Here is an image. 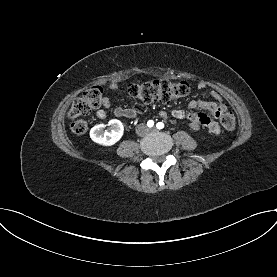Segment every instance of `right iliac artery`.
I'll return each mask as SVG.
<instances>
[{
    "label": "right iliac artery",
    "instance_id": "82829eb1",
    "mask_svg": "<svg viewBox=\"0 0 277 277\" xmlns=\"http://www.w3.org/2000/svg\"><path fill=\"white\" fill-rule=\"evenodd\" d=\"M148 127H152L154 125V122L152 120H149L147 122Z\"/></svg>",
    "mask_w": 277,
    "mask_h": 277
}]
</instances>
